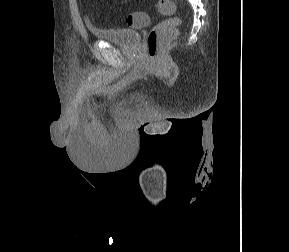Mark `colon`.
Wrapping results in <instances>:
<instances>
[{"instance_id": "1", "label": "colon", "mask_w": 289, "mask_h": 252, "mask_svg": "<svg viewBox=\"0 0 289 252\" xmlns=\"http://www.w3.org/2000/svg\"><path fill=\"white\" fill-rule=\"evenodd\" d=\"M155 8L159 13L168 16L173 15L175 11L172 0H157ZM145 19L143 14L133 13L127 16L126 23L129 26L140 27L144 25ZM179 25L180 19L171 17L152 27L147 38V52L151 62H158L164 47L176 37Z\"/></svg>"}]
</instances>
